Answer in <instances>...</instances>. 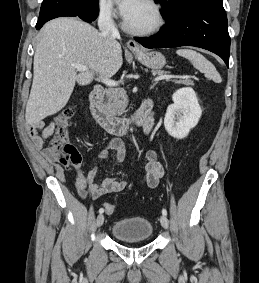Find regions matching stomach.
I'll use <instances>...</instances> for the list:
<instances>
[{"label":"stomach","instance_id":"0dacf381","mask_svg":"<svg viewBox=\"0 0 259 283\" xmlns=\"http://www.w3.org/2000/svg\"><path fill=\"white\" fill-rule=\"evenodd\" d=\"M135 57L145 66L157 70L164 67L166 64L165 57L162 53L157 51H148V50H142V51H134L133 52Z\"/></svg>","mask_w":259,"mask_h":283}]
</instances>
